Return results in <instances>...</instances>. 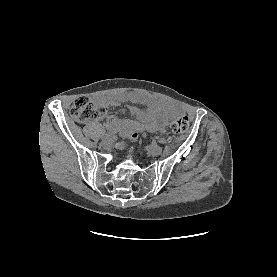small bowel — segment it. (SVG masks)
Returning a JSON list of instances; mask_svg holds the SVG:
<instances>
[{"mask_svg":"<svg viewBox=\"0 0 277 277\" xmlns=\"http://www.w3.org/2000/svg\"><path fill=\"white\" fill-rule=\"evenodd\" d=\"M104 106H118L122 102H142L147 104V109L143 110L136 106H130V113L138 122H126L114 115H107L105 126L108 129H121L129 123L132 127H140L150 132L164 130L168 124V117L174 111V107L161 99L143 96L134 92L115 93L109 96L98 98Z\"/></svg>","mask_w":277,"mask_h":277,"instance_id":"small-bowel-1","label":"small bowel"}]
</instances>
